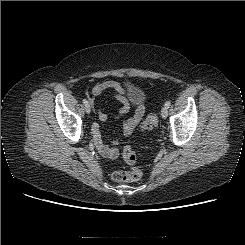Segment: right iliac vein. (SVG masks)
I'll return each mask as SVG.
<instances>
[{
	"mask_svg": "<svg viewBox=\"0 0 245 245\" xmlns=\"http://www.w3.org/2000/svg\"><path fill=\"white\" fill-rule=\"evenodd\" d=\"M85 110H86L87 113H90L91 112V106L90 105H87L85 107Z\"/></svg>",
	"mask_w": 245,
	"mask_h": 245,
	"instance_id": "63e3f726",
	"label": "right iliac vein"
}]
</instances>
